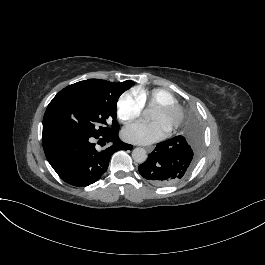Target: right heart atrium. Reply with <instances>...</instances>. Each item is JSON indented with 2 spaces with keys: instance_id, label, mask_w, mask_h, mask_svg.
I'll use <instances>...</instances> for the list:
<instances>
[{
  "instance_id": "obj_1",
  "label": "right heart atrium",
  "mask_w": 265,
  "mask_h": 265,
  "mask_svg": "<svg viewBox=\"0 0 265 265\" xmlns=\"http://www.w3.org/2000/svg\"><path fill=\"white\" fill-rule=\"evenodd\" d=\"M144 104L134 92H126L118 101V116L123 123H130L140 117Z\"/></svg>"
}]
</instances>
